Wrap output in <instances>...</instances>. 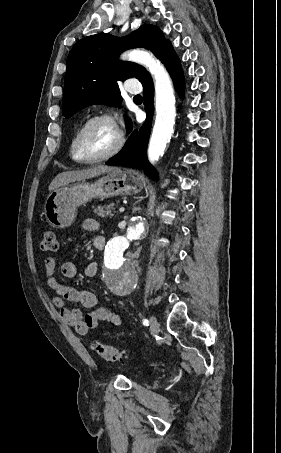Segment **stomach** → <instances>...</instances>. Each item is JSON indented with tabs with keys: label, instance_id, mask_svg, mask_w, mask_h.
I'll return each mask as SVG.
<instances>
[{
	"label": "stomach",
	"instance_id": "stomach-1",
	"mask_svg": "<svg viewBox=\"0 0 281 453\" xmlns=\"http://www.w3.org/2000/svg\"><path fill=\"white\" fill-rule=\"evenodd\" d=\"M142 186V176L136 170H112L95 182L80 180L65 184L48 194L44 204L46 220L54 229H65L74 222L78 206L91 198L135 194Z\"/></svg>",
	"mask_w": 281,
	"mask_h": 453
}]
</instances>
